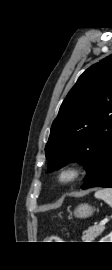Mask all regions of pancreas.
Segmentation results:
<instances>
[{
	"label": "pancreas",
	"instance_id": "obj_1",
	"mask_svg": "<svg viewBox=\"0 0 112 270\" xmlns=\"http://www.w3.org/2000/svg\"><path fill=\"white\" fill-rule=\"evenodd\" d=\"M104 226L90 227L88 230L83 232V242H93V240L104 231Z\"/></svg>",
	"mask_w": 112,
	"mask_h": 270
}]
</instances>
